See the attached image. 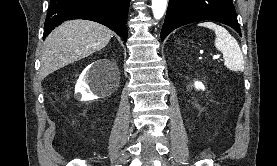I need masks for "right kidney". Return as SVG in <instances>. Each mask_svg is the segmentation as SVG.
<instances>
[{
	"instance_id": "ca27d5eb",
	"label": "right kidney",
	"mask_w": 277,
	"mask_h": 166,
	"mask_svg": "<svg viewBox=\"0 0 277 166\" xmlns=\"http://www.w3.org/2000/svg\"><path fill=\"white\" fill-rule=\"evenodd\" d=\"M106 60H99L97 64L106 63ZM91 87H100V83L94 79L93 64L89 65L80 75L76 86L75 92L77 98L81 101H90L97 99L98 97L90 90Z\"/></svg>"
}]
</instances>
